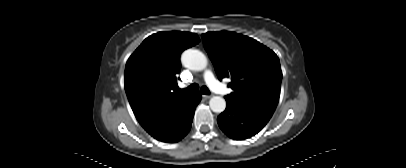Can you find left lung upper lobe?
Segmentation results:
<instances>
[{
  "label": "left lung upper lobe",
  "instance_id": "obj_1",
  "mask_svg": "<svg viewBox=\"0 0 406 168\" xmlns=\"http://www.w3.org/2000/svg\"><path fill=\"white\" fill-rule=\"evenodd\" d=\"M202 38L219 80L231 79L233 92L225 99L274 113L282 80L277 55L235 32H208Z\"/></svg>",
  "mask_w": 406,
  "mask_h": 168
}]
</instances>
